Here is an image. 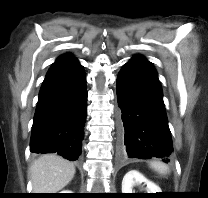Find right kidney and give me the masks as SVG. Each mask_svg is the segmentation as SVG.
Listing matches in <instances>:
<instances>
[{
    "instance_id": "ca27d5eb",
    "label": "right kidney",
    "mask_w": 208,
    "mask_h": 198,
    "mask_svg": "<svg viewBox=\"0 0 208 198\" xmlns=\"http://www.w3.org/2000/svg\"><path fill=\"white\" fill-rule=\"evenodd\" d=\"M63 193H72V191H62Z\"/></svg>"
}]
</instances>
